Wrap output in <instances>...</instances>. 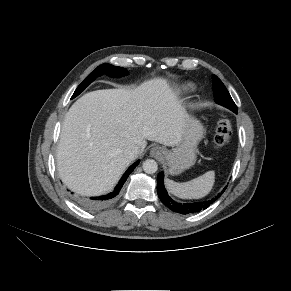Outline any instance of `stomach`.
I'll return each mask as SVG.
<instances>
[{"mask_svg": "<svg viewBox=\"0 0 291 291\" xmlns=\"http://www.w3.org/2000/svg\"><path fill=\"white\" fill-rule=\"evenodd\" d=\"M205 128L202 123L188 116L181 141L171 150L163 149V160L172 175L182 173L196 162L197 145L204 137Z\"/></svg>", "mask_w": 291, "mask_h": 291, "instance_id": "stomach-1", "label": "stomach"}]
</instances>
